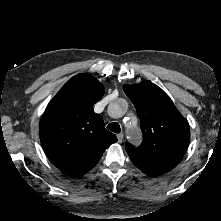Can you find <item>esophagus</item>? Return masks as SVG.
<instances>
[{
    "label": "esophagus",
    "instance_id": "esophagus-1",
    "mask_svg": "<svg viewBox=\"0 0 221 221\" xmlns=\"http://www.w3.org/2000/svg\"><path fill=\"white\" fill-rule=\"evenodd\" d=\"M117 139H118V143H122V141H123V134L122 133L118 134L117 135Z\"/></svg>",
    "mask_w": 221,
    "mask_h": 221
}]
</instances>
